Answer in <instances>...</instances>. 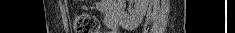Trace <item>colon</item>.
I'll use <instances>...</instances> for the list:
<instances>
[{
  "label": "colon",
  "instance_id": "5ec220e1",
  "mask_svg": "<svg viewBox=\"0 0 235 33\" xmlns=\"http://www.w3.org/2000/svg\"><path fill=\"white\" fill-rule=\"evenodd\" d=\"M71 24L75 33H97L99 29L97 18L85 12L74 13Z\"/></svg>",
  "mask_w": 235,
  "mask_h": 33
}]
</instances>
